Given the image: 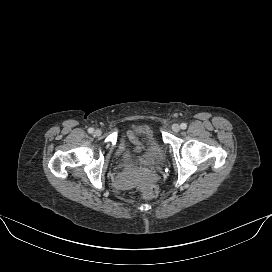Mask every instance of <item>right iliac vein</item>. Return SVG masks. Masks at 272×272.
<instances>
[{
    "mask_svg": "<svg viewBox=\"0 0 272 272\" xmlns=\"http://www.w3.org/2000/svg\"><path fill=\"white\" fill-rule=\"evenodd\" d=\"M95 136H100L102 134V131L100 129L95 130L94 132Z\"/></svg>",
    "mask_w": 272,
    "mask_h": 272,
    "instance_id": "63e3f726",
    "label": "right iliac vein"
}]
</instances>
